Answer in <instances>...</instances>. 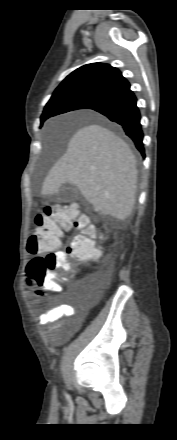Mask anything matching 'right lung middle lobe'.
Listing matches in <instances>:
<instances>
[{
    "label": "right lung middle lobe",
    "instance_id": "1",
    "mask_svg": "<svg viewBox=\"0 0 177 440\" xmlns=\"http://www.w3.org/2000/svg\"><path fill=\"white\" fill-rule=\"evenodd\" d=\"M93 101H95L93 97L77 92H64L52 95L45 106L41 121L43 122L51 116L68 111L83 109Z\"/></svg>",
    "mask_w": 177,
    "mask_h": 440
}]
</instances>
